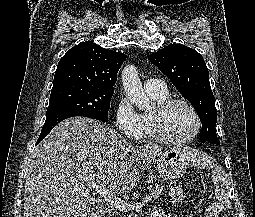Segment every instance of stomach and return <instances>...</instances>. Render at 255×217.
<instances>
[{"mask_svg":"<svg viewBox=\"0 0 255 217\" xmlns=\"http://www.w3.org/2000/svg\"><path fill=\"white\" fill-rule=\"evenodd\" d=\"M187 157L180 148H171L156 160L159 176L165 180L180 178L186 170Z\"/></svg>","mask_w":255,"mask_h":217,"instance_id":"obj_1","label":"stomach"}]
</instances>
